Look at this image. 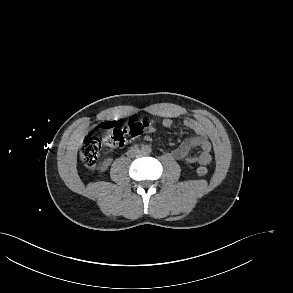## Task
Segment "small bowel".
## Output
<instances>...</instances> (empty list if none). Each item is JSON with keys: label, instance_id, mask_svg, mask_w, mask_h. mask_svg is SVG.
<instances>
[{"label": "small bowel", "instance_id": "1", "mask_svg": "<svg viewBox=\"0 0 293 293\" xmlns=\"http://www.w3.org/2000/svg\"><path fill=\"white\" fill-rule=\"evenodd\" d=\"M160 125L164 128L172 126V120L164 118L161 120ZM184 125L193 131V135L186 138L177 148L172 152L173 156L180 161H184L189 164L206 165L211 159V142L207 137L206 127L203 123L187 118L184 120ZM154 128L149 129V132H153ZM192 148H198V152L194 155H189Z\"/></svg>", "mask_w": 293, "mask_h": 293}]
</instances>
